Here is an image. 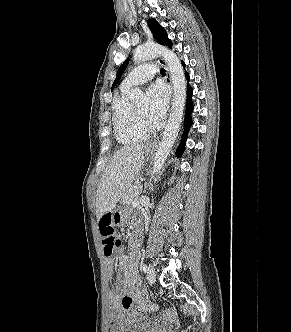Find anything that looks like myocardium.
I'll return each mask as SVG.
<instances>
[{"label":"myocardium","mask_w":291,"mask_h":332,"mask_svg":"<svg viewBox=\"0 0 291 332\" xmlns=\"http://www.w3.org/2000/svg\"><path fill=\"white\" fill-rule=\"evenodd\" d=\"M135 115L137 117V120L143 130H148L149 126L145 120V117L135 108Z\"/></svg>","instance_id":"obj_1"}]
</instances>
